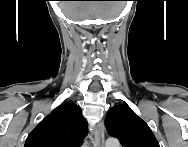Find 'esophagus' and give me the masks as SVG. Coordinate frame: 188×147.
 Here are the masks:
<instances>
[{
  "label": "esophagus",
  "mask_w": 188,
  "mask_h": 147,
  "mask_svg": "<svg viewBox=\"0 0 188 147\" xmlns=\"http://www.w3.org/2000/svg\"><path fill=\"white\" fill-rule=\"evenodd\" d=\"M104 132V124L100 121L94 127V147H104Z\"/></svg>",
  "instance_id": "34e87169"
}]
</instances>
